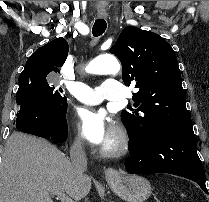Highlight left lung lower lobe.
<instances>
[{"instance_id": "1", "label": "left lung lower lobe", "mask_w": 209, "mask_h": 202, "mask_svg": "<svg viewBox=\"0 0 209 202\" xmlns=\"http://www.w3.org/2000/svg\"><path fill=\"white\" fill-rule=\"evenodd\" d=\"M128 148L130 157L125 161L128 173L164 172L182 176L198 183L208 194L192 125L173 128L149 141L129 139Z\"/></svg>"}]
</instances>
